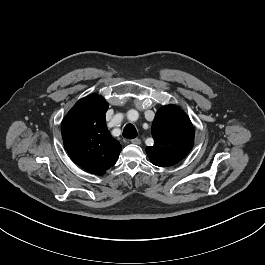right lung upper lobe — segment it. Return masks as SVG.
<instances>
[{"mask_svg": "<svg viewBox=\"0 0 265 265\" xmlns=\"http://www.w3.org/2000/svg\"><path fill=\"white\" fill-rule=\"evenodd\" d=\"M108 103L91 94L80 99L62 121L64 147L71 159L86 171L103 175L120 154L121 145L106 127Z\"/></svg>", "mask_w": 265, "mask_h": 265, "instance_id": "obj_1", "label": "right lung upper lobe"}]
</instances>
